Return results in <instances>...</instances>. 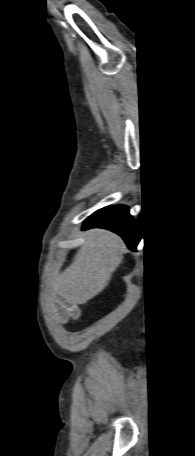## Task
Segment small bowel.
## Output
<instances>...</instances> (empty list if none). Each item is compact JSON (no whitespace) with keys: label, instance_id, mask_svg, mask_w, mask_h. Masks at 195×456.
Wrapping results in <instances>:
<instances>
[{"label":"small bowel","instance_id":"c3829d8e","mask_svg":"<svg viewBox=\"0 0 195 456\" xmlns=\"http://www.w3.org/2000/svg\"><path fill=\"white\" fill-rule=\"evenodd\" d=\"M56 318L61 322H66L78 317L77 307L69 301H59L54 310Z\"/></svg>","mask_w":195,"mask_h":456}]
</instances>
